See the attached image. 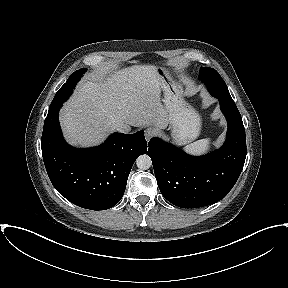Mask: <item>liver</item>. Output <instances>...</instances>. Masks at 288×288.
<instances>
[{
    "label": "liver",
    "instance_id": "liver-1",
    "mask_svg": "<svg viewBox=\"0 0 288 288\" xmlns=\"http://www.w3.org/2000/svg\"><path fill=\"white\" fill-rule=\"evenodd\" d=\"M162 82L156 67L134 65L111 69L81 82L60 111L65 139L89 147L104 141L122 126L154 125L164 129L169 121L161 103Z\"/></svg>",
    "mask_w": 288,
    "mask_h": 288
}]
</instances>
